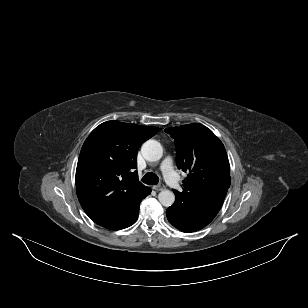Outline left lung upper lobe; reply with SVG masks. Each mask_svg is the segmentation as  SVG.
I'll return each instance as SVG.
<instances>
[{
	"instance_id": "1",
	"label": "left lung upper lobe",
	"mask_w": 308,
	"mask_h": 308,
	"mask_svg": "<svg viewBox=\"0 0 308 308\" xmlns=\"http://www.w3.org/2000/svg\"><path fill=\"white\" fill-rule=\"evenodd\" d=\"M175 140L177 166L188 172L183 191L174 190L183 203L200 200L230 187V165L223 143L207 127L192 123L166 128Z\"/></svg>"
}]
</instances>
